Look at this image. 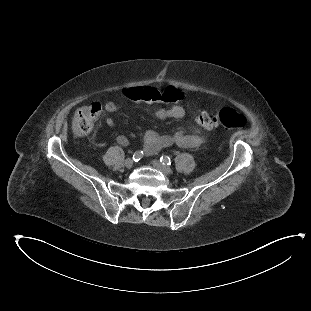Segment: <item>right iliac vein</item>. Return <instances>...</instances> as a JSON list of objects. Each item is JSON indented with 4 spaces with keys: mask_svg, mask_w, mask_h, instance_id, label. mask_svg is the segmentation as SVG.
Wrapping results in <instances>:
<instances>
[{
    "mask_svg": "<svg viewBox=\"0 0 311 311\" xmlns=\"http://www.w3.org/2000/svg\"><path fill=\"white\" fill-rule=\"evenodd\" d=\"M124 164H125L126 168L130 169V168H132L134 162H133V160L131 158H128V159L125 160Z\"/></svg>",
    "mask_w": 311,
    "mask_h": 311,
    "instance_id": "right-iliac-vein-1",
    "label": "right iliac vein"
}]
</instances>
